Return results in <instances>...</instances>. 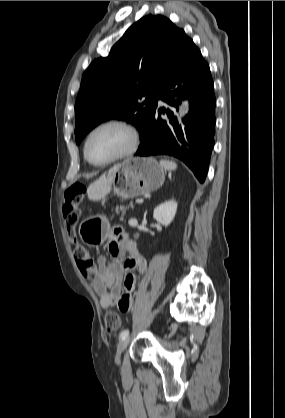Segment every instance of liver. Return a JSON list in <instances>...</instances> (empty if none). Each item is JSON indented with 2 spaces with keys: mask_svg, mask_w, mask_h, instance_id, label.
I'll list each match as a JSON object with an SVG mask.
<instances>
[{
  "mask_svg": "<svg viewBox=\"0 0 285 418\" xmlns=\"http://www.w3.org/2000/svg\"><path fill=\"white\" fill-rule=\"evenodd\" d=\"M118 165L114 166L107 175H102L99 179L91 183L87 189L90 200L97 201L104 198L111 190L113 184V172Z\"/></svg>",
  "mask_w": 285,
  "mask_h": 418,
  "instance_id": "6515ba94",
  "label": "liver"
}]
</instances>
